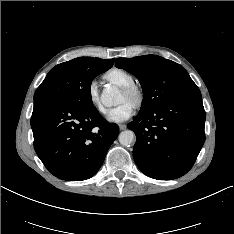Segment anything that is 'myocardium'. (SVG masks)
<instances>
[{
	"mask_svg": "<svg viewBox=\"0 0 234 234\" xmlns=\"http://www.w3.org/2000/svg\"><path fill=\"white\" fill-rule=\"evenodd\" d=\"M121 93H123L126 99L129 100L134 107L138 108L142 105L144 100V92L140 85L134 82L128 84L121 87Z\"/></svg>",
	"mask_w": 234,
	"mask_h": 234,
	"instance_id": "myocardium-1",
	"label": "myocardium"
}]
</instances>
